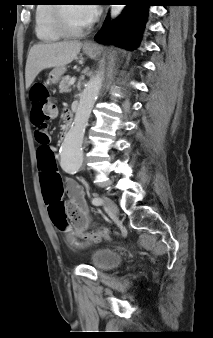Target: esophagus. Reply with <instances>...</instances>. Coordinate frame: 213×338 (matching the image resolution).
Returning <instances> with one entry per match:
<instances>
[{"label": "esophagus", "mask_w": 213, "mask_h": 338, "mask_svg": "<svg viewBox=\"0 0 213 338\" xmlns=\"http://www.w3.org/2000/svg\"><path fill=\"white\" fill-rule=\"evenodd\" d=\"M86 45L90 46V45H91V43H90V42H87V43H86Z\"/></svg>", "instance_id": "obj_1"}]
</instances>
